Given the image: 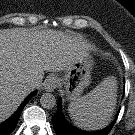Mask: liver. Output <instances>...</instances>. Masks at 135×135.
I'll use <instances>...</instances> for the list:
<instances>
[{
	"mask_svg": "<svg viewBox=\"0 0 135 135\" xmlns=\"http://www.w3.org/2000/svg\"><path fill=\"white\" fill-rule=\"evenodd\" d=\"M89 46L59 31L0 29V123L8 119L34 89L44 72H60L87 54Z\"/></svg>",
	"mask_w": 135,
	"mask_h": 135,
	"instance_id": "obj_1",
	"label": "liver"
}]
</instances>
